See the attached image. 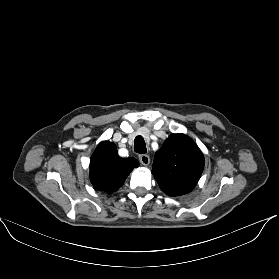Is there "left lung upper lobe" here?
<instances>
[{
  "instance_id": "1",
  "label": "left lung upper lobe",
  "mask_w": 279,
  "mask_h": 279,
  "mask_svg": "<svg viewBox=\"0 0 279 279\" xmlns=\"http://www.w3.org/2000/svg\"><path fill=\"white\" fill-rule=\"evenodd\" d=\"M204 168V156L195 142L184 134H172L154 157L152 174L169 196L191 192Z\"/></svg>"
}]
</instances>
